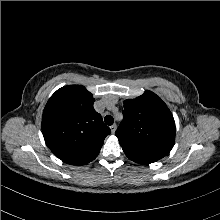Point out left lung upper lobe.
Segmentation results:
<instances>
[{
  "label": "left lung upper lobe",
  "mask_w": 220,
  "mask_h": 220,
  "mask_svg": "<svg viewBox=\"0 0 220 220\" xmlns=\"http://www.w3.org/2000/svg\"><path fill=\"white\" fill-rule=\"evenodd\" d=\"M175 122L166 104L153 92L124 101L123 121L116 136L126 156L150 164L166 156L174 146Z\"/></svg>",
  "instance_id": "5c2ea615"
}]
</instances>
